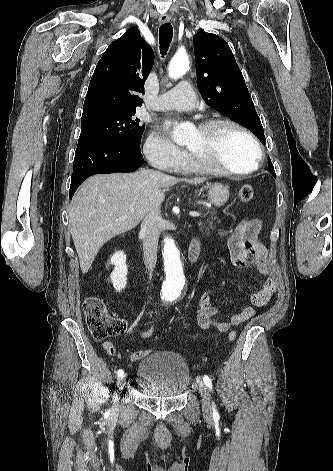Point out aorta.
<instances>
[{"label":"aorta","instance_id":"762f6f07","mask_svg":"<svg viewBox=\"0 0 333 471\" xmlns=\"http://www.w3.org/2000/svg\"><path fill=\"white\" fill-rule=\"evenodd\" d=\"M189 66V59L186 54H176L168 67V75L171 79L182 77ZM191 125L189 123L178 124L175 128V141L182 143L185 141ZM163 258L166 272V280L161 289V298L168 300L176 298L183 293L185 277L183 274V265L181 255L174 240L166 237L163 240Z\"/></svg>","mask_w":333,"mask_h":471}]
</instances>
